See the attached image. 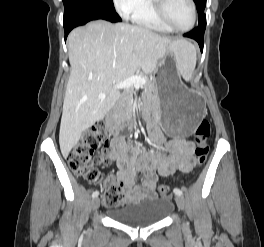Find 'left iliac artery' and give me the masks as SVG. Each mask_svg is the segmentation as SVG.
I'll use <instances>...</instances> for the list:
<instances>
[{
  "label": "left iliac artery",
  "mask_w": 264,
  "mask_h": 247,
  "mask_svg": "<svg viewBox=\"0 0 264 247\" xmlns=\"http://www.w3.org/2000/svg\"><path fill=\"white\" fill-rule=\"evenodd\" d=\"M174 193L176 194V195H182L183 194V192L180 190V189H178V188H174Z\"/></svg>",
  "instance_id": "left-iliac-artery-1"
}]
</instances>
